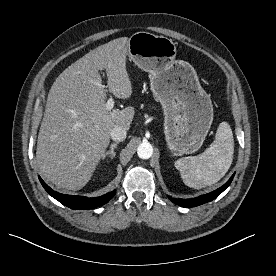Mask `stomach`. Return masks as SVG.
Instances as JSON below:
<instances>
[{
    "label": "stomach",
    "mask_w": 276,
    "mask_h": 276,
    "mask_svg": "<svg viewBox=\"0 0 276 276\" xmlns=\"http://www.w3.org/2000/svg\"><path fill=\"white\" fill-rule=\"evenodd\" d=\"M175 43L164 36L137 32L129 38L128 55L150 74V87L164 112V134L175 154H191L203 144L213 121V105L195 69L176 60Z\"/></svg>",
    "instance_id": "stomach-1"
}]
</instances>
